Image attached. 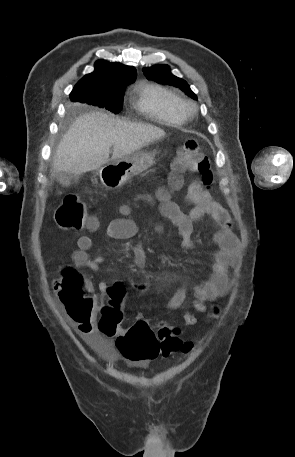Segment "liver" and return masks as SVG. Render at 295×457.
I'll return each mask as SVG.
<instances>
[{
    "label": "liver",
    "mask_w": 295,
    "mask_h": 457,
    "mask_svg": "<svg viewBox=\"0 0 295 457\" xmlns=\"http://www.w3.org/2000/svg\"><path fill=\"white\" fill-rule=\"evenodd\" d=\"M165 136L156 126L115 119L101 112L79 116L61 139L53 171L72 175L93 171ZM113 155L109 158L110 148Z\"/></svg>",
    "instance_id": "obj_1"
}]
</instances>
